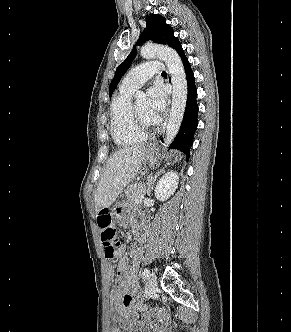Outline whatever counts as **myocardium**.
Listing matches in <instances>:
<instances>
[{
	"instance_id": "1",
	"label": "myocardium",
	"mask_w": 291,
	"mask_h": 332,
	"mask_svg": "<svg viewBox=\"0 0 291 332\" xmlns=\"http://www.w3.org/2000/svg\"><path fill=\"white\" fill-rule=\"evenodd\" d=\"M131 113H132V119H133L134 126L139 133L147 136V135L155 132L154 126H148L142 121L135 104H132Z\"/></svg>"
}]
</instances>
